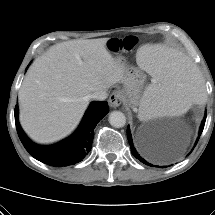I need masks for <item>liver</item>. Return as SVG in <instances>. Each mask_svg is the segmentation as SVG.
<instances>
[{
    "instance_id": "1",
    "label": "liver",
    "mask_w": 215,
    "mask_h": 215,
    "mask_svg": "<svg viewBox=\"0 0 215 215\" xmlns=\"http://www.w3.org/2000/svg\"><path fill=\"white\" fill-rule=\"evenodd\" d=\"M108 38L52 46L30 67L19 90L20 123L38 143L70 134L92 93L122 82L124 65L107 50Z\"/></svg>"
}]
</instances>
